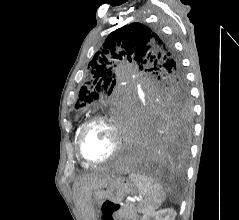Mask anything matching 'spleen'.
Masks as SVG:
<instances>
[{"label": "spleen", "mask_w": 239, "mask_h": 220, "mask_svg": "<svg viewBox=\"0 0 239 220\" xmlns=\"http://www.w3.org/2000/svg\"><path fill=\"white\" fill-rule=\"evenodd\" d=\"M129 179L136 185L144 199L138 205V212L147 213L157 209L165 200V194L160 184L151 177L139 173L129 174Z\"/></svg>", "instance_id": "1"}]
</instances>
